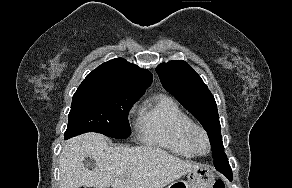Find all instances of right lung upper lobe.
<instances>
[{"label":"right lung upper lobe","mask_w":292,"mask_h":188,"mask_svg":"<svg viewBox=\"0 0 292 188\" xmlns=\"http://www.w3.org/2000/svg\"><path fill=\"white\" fill-rule=\"evenodd\" d=\"M147 69H141L123 58L112 59L90 72L81 85H100L142 96L152 83Z\"/></svg>","instance_id":"cb5924a9"}]
</instances>
